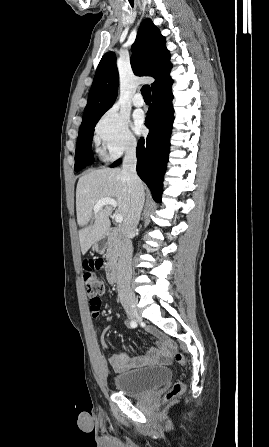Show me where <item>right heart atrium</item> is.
<instances>
[{
  "label": "right heart atrium",
  "instance_id": "1",
  "mask_svg": "<svg viewBox=\"0 0 269 447\" xmlns=\"http://www.w3.org/2000/svg\"><path fill=\"white\" fill-rule=\"evenodd\" d=\"M94 142L100 155L108 160H114L124 152L133 151L137 146L128 116L115 106L109 108L97 121L94 127Z\"/></svg>",
  "mask_w": 269,
  "mask_h": 447
}]
</instances>
